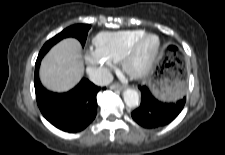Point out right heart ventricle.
I'll list each match as a JSON object with an SVG mask.
<instances>
[{"instance_id": "right-heart-ventricle-1", "label": "right heart ventricle", "mask_w": 225, "mask_h": 155, "mask_svg": "<svg viewBox=\"0 0 225 155\" xmlns=\"http://www.w3.org/2000/svg\"><path fill=\"white\" fill-rule=\"evenodd\" d=\"M144 33L138 29L101 32L94 38L95 50L112 62L121 61L130 46Z\"/></svg>"}]
</instances>
